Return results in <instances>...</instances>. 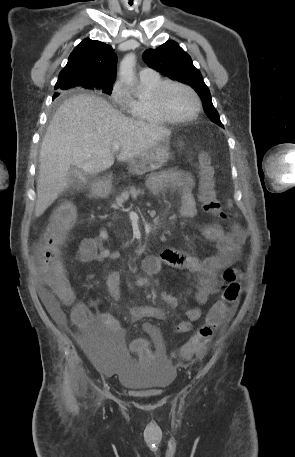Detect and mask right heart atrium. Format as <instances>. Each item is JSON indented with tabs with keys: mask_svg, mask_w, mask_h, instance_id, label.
<instances>
[{
	"mask_svg": "<svg viewBox=\"0 0 295 457\" xmlns=\"http://www.w3.org/2000/svg\"><path fill=\"white\" fill-rule=\"evenodd\" d=\"M111 98L113 102L121 109L128 110L130 107V97L124 88L123 84L117 81L111 90Z\"/></svg>",
	"mask_w": 295,
	"mask_h": 457,
	"instance_id": "right-heart-atrium-1",
	"label": "right heart atrium"
}]
</instances>
